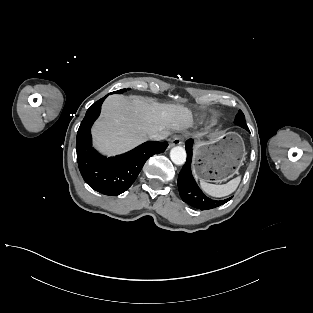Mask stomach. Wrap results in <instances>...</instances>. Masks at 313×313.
I'll use <instances>...</instances> for the list:
<instances>
[{
  "mask_svg": "<svg viewBox=\"0 0 313 313\" xmlns=\"http://www.w3.org/2000/svg\"><path fill=\"white\" fill-rule=\"evenodd\" d=\"M245 146L236 133H213L194 148V171L204 181L223 182L243 164Z\"/></svg>",
  "mask_w": 313,
  "mask_h": 313,
  "instance_id": "1",
  "label": "stomach"
}]
</instances>
